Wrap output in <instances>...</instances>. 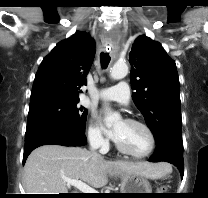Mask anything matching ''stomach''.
<instances>
[{
  "instance_id": "stomach-1",
  "label": "stomach",
  "mask_w": 208,
  "mask_h": 198,
  "mask_svg": "<svg viewBox=\"0 0 208 198\" xmlns=\"http://www.w3.org/2000/svg\"><path fill=\"white\" fill-rule=\"evenodd\" d=\"M152 188L146 177L129 174L123 175L121 178L120 193H152ZM125 197L143 198L144 194H124Z\"/></svg>"
}]
</instances>
